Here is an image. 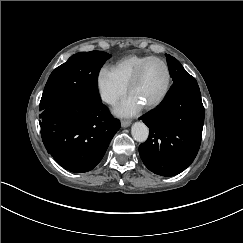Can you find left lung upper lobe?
<instances>
[{
    "mask_svg": "<svg viewBox=\"0 0 243 243\" xmlns=\"http://www.w3.org/2000/svg\"><path fill=\"white\" fill-rule=\"evenodd\" d=\"M170 76L173 80V86L168 94L180 88H199L197 81L192 77L174 57L166 54Z\"/></svg>",
    "mask_w": 243,
    "mask_h": 243,
    "instance_id": "5c2ea615",
    "label": "left lung upper lobe"
}]
</instances>
